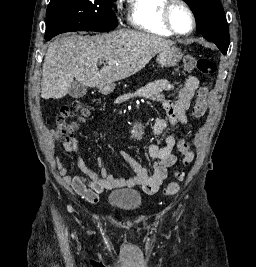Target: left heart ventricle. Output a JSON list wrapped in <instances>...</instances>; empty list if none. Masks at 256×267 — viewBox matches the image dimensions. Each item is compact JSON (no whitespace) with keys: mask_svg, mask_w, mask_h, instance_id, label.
Returning a JSON list of instances; mask_svg holds the SVG:
<instances>
[{"mask_svg":"<svg viewBox=\"0 0 256 267\" xmlns=\"http://www.w3.org/2000/svg\"><path fill=\"white\" fill-rule=\"evenodd\" d=\"M170 18L175 28L181 32L186 33L191 28V19L188 12L181 6L174 4L170 10Z\"/></svg>","mask_w":256,"mask_h":267,"instance_id":"b2bd125f","label":"left heart ventricle"}]
</instances>
